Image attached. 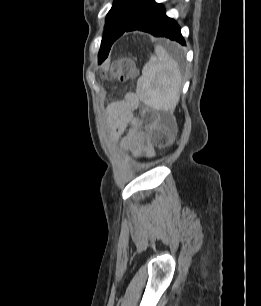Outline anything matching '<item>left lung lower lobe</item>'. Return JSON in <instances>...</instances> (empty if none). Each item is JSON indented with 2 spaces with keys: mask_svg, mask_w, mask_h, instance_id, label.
Returning <instances> with one entry per match:
<instances>
[{
  "mask_svg": "<svg viewBox=\"0 0 261 306\" xmlns=\"http://www.w3.org/2000/svg\"><path fill=\"white\" fill-rule=\"evenodd\" d=\"M134 30L148 32L156 37H167L185 45L176 21L167 17L163 5L154 0H146L123 33Z\"/></svg>",
  "mask_w": 261,
  "mask_h": 306,
  "instance_id": "0a47b994",
  "label": "left lung lower lobe"
}]
</instances>
